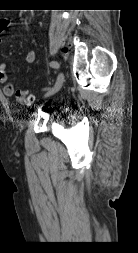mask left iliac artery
Masks as SVG:
<instances>
[{
	"label": "left iliac artery",
	"instance_id": "obj_1",
	"mask_svg": "<svg viewBox=\"0 0 138 253\" xmlns=\"http://www.w3.org/2000/svg\"><path fill=\"white\" fill-rule=\"evenodd\" d=\"M50 67L58 69L59 68V63L57 61H51L50 62Z\"/></svg>",
	"mask_w": 138,
	"mask_h": 253
}]
</instances>
